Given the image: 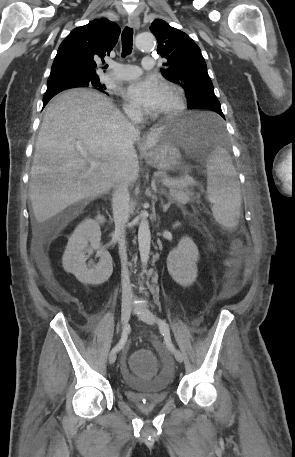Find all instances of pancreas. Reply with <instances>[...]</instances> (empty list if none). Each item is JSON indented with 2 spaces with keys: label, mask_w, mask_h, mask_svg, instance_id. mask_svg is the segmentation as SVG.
I'll return each mask as SVG.
<instances>
[{
  "label": "pancreas",
  "mask_w": 295,
  "mask_h": 457,
  "mask_svg": "<svg viewBox=\"0 0 295 457\" xmlns=\"http://www.w3.org/2000/svg\"><path fill=\"white\" fill-rule=\"evenodd\" d=\"M193 183H189L186 186H171L169 187V192H162L167 195L172 202H178L179 204H184L191 200L193 197L192 186Z\"/></svg>",
  "instance_id": "obj_1"
}]
</instances>
